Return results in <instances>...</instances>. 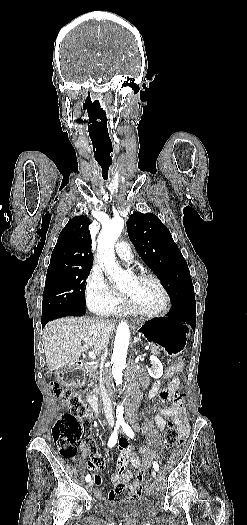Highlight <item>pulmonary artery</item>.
<instances>
[{
	"label": "pulmonary artery",
	"mask_w": 247,
	"mask_h": 525,
	"mask_svg": "<svg viewBox=\"0 0 247 525\" xmlns=\"http://www.w3.org/2000/svg\"><path fill=\"white\" fill-rule=\"evenodd\" d=\"M115 252L123 259L132 258V247L126 238H120L115 245Z\"/></svg>",
	"instance_id": "e3ab8cb5"
}]
</instances>
